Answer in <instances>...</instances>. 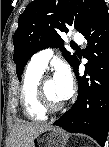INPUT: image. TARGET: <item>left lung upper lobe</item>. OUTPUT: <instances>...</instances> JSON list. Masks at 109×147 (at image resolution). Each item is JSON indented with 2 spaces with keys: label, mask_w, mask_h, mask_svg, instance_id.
<instances>
[{
  "label": "left lung upper lobe",
  "mask_w": 109,
  "mask_h": 147,
  "mask_svg": "<svg viewBox=\"0 0 109 147\" xmlns=\"http://www.w3.org/2000/svg\"><path fill=\"white\" fill-rule=\"evenodd\" d=\"M104 0H34L20 15L14 34V62L17 75H22L24 66L36 52L47 47H59L65 59L74 68L78 59L62 45L60 32H68L73 26L79 32L88 24ZM92 84L100 82L91 78Z\"/></svg>",
  "instance_id": "5c2ea615"
}]
</instances>
